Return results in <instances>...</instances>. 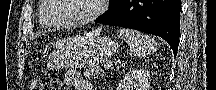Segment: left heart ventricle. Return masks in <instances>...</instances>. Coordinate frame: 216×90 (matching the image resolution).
<instances>
[{"label": "left heart ventricle", "instance_id": "b2bd125f", "mask_svg": "<svg viewBox=\"0 0 216 90\" xmlns=\"http://www.w3.org/2000/svg\"><path fill=\"white\" fill-rule=\"evenodd\" d=\"M66 1L64 10H60L59 16L52 19L56 24L71 25L90 15L96 8L97 0H58Z\"/></svg>", "mask_w": 216, "mask_h": 90}]
</instances>
